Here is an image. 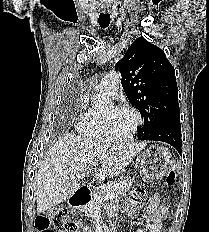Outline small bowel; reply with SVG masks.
<instances>
[{"mask_svg":"<svg viewBox=\"0 0 209 232\" xmlns=\"http://www.w3.org/2000/svg\"><path fill=\"white\" fill-rule=\"evenodd\" d=\"M146 185H133V190L130 191V198L133 199V203L141 205L143 199L146 198L145 191ZM132 205L126 208L127 214H132ZM114 211H111V215H115ZM144 217L147 221V227L140 229L135 232H161L162 222L167 217V209L160 202L158 193H153L146 205ZM83 232H91L87 226L83 227Z\"/></svg>","mask_w":209,"mask_h":232,"instance_id":"obj_1","label":"small bowel"}]
</instances>
